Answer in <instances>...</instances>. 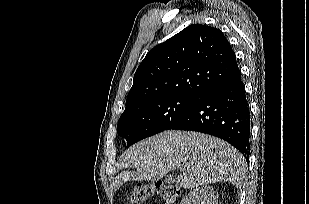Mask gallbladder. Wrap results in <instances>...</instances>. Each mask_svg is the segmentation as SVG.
Returning a JSON list of instances; mask_svg holds the SVG:
<instances>
[{
    "label": "gallbladder",
    "mask_w": 309,
    "mask_h": 204,
    "mask_svg": "<svg viewBox=\"0 0 309 204\" xmlns=\"http://www.w3.org/2000/svg\"><path fill=\"white\" fill-rule=\"evenodd\" d=\"M166 180L172 182V181H173V177L167 176V177H166Z\"/></svg>",
    "instance_id": "obj_1"
}]
</instances>
